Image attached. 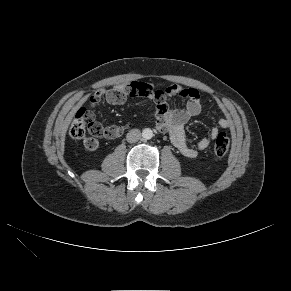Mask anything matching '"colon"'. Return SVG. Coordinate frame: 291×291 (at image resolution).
I'll return each mask as SVG.
<instances>
[{
	"mask_svg": "<svg viewBox=\"0 0 291 291\" xmlns=\"http://www.w3.org/2000/svg\"><path fill=\"white\" fill-rule=\"evenodd\" d=\"M124 127H103L94 117L89 109L82 107L78 110L74 121L72 122L69 133L75 139H96V138H114L120 135ZM87 134L91 137L86 138ZM97 140V139H96ZM230 139L226 133H219L214 141L212 156L214 159L222 158L228 151Z\"/></svg>",
	"mask_w": 291,
	"mask_h": 291,
	"instance_id": "obj_1",
	"label": "colon"
}]
</instances>
